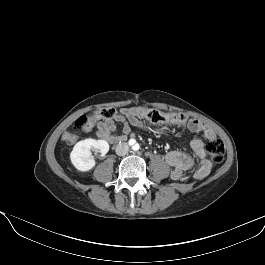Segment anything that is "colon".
Returning <instances> with one entry per match:
<instances>
[{
  "mask_svg": "<svg viewBox=\"0 0 265 265\" xmlns=\"http://www.w3.org/2000/svg\"><path fill=\"white\" fill-rule=\"evenodd\" d=\"M115 114L116 109L104 107L81 116L73 125L67 138L68 141L74 142L78 134L91 131L97 120L109 119L114 117ZM136 114L152 124H187L188 122L187 116L182 113H165L156 109L141 108L136 111ZM205 153L214 163H221L225 156L223 141L217 137L210 139L206 144Z\"/></svg>",
  "mask_w": 265,
  "mask_h": 265,
  "instance_id": "colon-1",
  "label": "colon"
}]
</instances>
